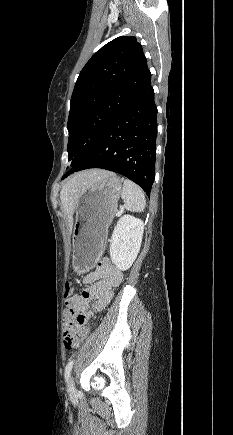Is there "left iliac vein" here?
Masks as SVG:
<instances>
[{"label": "left iliac vein", "mask_w": 233, "mask_h": 435, "mask_svg": "<svg viewBox=\"0 0 233 435\" xmlns=\"http://www.w3.org/2000/svg\"><path fill=\"white\" fill-rule=\"evenodd\" d=\"M68 393L70 396H73L76 393L75 384L72 378H70L68 382Z\"/></svg>", "instance_id": "obj_1"}]
</instances>
